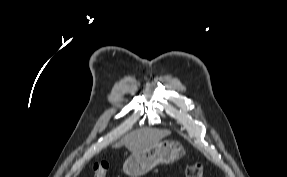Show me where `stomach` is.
<instances>
[{
	"label": "stomach",
	"mask_w": 287,
	"mask_h": 177,
	"mask_svg": "<svg viewBox=\"0 0 287 177\" xmlns=\"http://www.w3.org/2000/svg\"><path fill=\"white\" fill-rule=\"evenodd\" d=\"M185 153L183 146L175 141H161L141 151L132 152L125 160L123 171L130 177H140L159 163H173Z\"/></svg>",
	"instance_id": "0dacf381"
}]
</instances>
